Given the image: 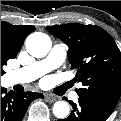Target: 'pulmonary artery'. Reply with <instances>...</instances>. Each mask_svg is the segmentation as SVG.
Wrapping results in <instances>:
<instances>
[{"label":"pulmonary artery","instance_id":"e3ab8cb5","mask_svg":"<svg viewBox=\"0 0 121 121\" xmlns=\"http://www.w3.org/2000/svg\"><path fill=\"white\" fill-rule=\"evenodd\" d=\"M65 59V46L62 44H55L44 59L9 72L7 74V83L8 85H14L32 82L48 72L59 68L64 63ZM78 86L81 87L82 85L79 84ZM71 98L76 99L77 94L72 93Z\"/></svg>","mask_w":121,"mask_h":121}]
</instances>
